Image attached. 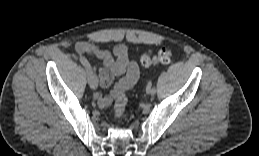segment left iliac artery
I'll use <instances>...</instances> for the list:
<instances>
[{"label":"left iliac artery","instance_id":"left-iliac-artery-1","mask_svg":"<svg viewBox=\"0 0 259 156\" xmlns=\"http://www.w3.org/2000/svg\"><path fill=\"white\" fill-rule=\"evenodd\" d=\"M152 82V81H151ZM158 94V91L156 89V86L155 85H152V95H157Z\"/></svg>","mask_w":259,"mask_h":156}]
</instances>
